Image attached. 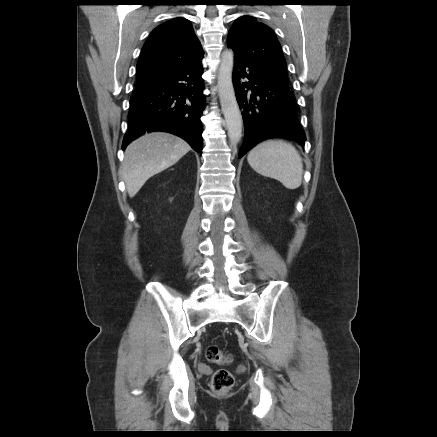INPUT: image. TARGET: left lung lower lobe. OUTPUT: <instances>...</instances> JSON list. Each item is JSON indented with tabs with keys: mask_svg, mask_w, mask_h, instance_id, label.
Returning <instances> with one entry per match:
<instances>
[{
	"mask_svg": "<svg viewBox=\"0 0 437 437\" xmlns=\"http://www.w3.org/2000/svg\"><path fill=\"white\" fill-rule=\"evenodd\" d=\"M234 60L233 85L245 130L239 158L268 138L285 137L304 145L306 136L297 119V105L289 87L236 54Z\"/></svg>",
	"mask_w": 437,
	"mask_h": 437,
	"instance_id": "obj_1",
	"label": "left lung lower lobe"
}]
</instances>
